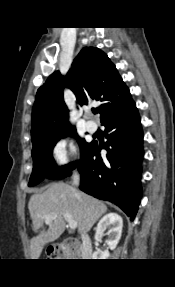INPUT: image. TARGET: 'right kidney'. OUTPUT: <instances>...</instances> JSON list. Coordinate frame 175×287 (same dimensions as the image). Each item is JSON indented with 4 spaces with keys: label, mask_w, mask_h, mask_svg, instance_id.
<instances>
[{
    "label": "right kidney",
    "mask_w": 175,
    "mask_h": 287,
    "mask_svg": "<svg viewBox=\"0 0 175 287\" xmlns=\"http://www.w3.org/2000/svg\"><path fill=\"white\" fill-rule=\"evenodd\" d=\"M123 227L122 217L116 213H109L103 216L98 222L97 227L95 228V239L98 240L99 237L104 235L106 229H109L106 235V244L108 249L114 250L121 238ZM109 251L96 250L93 253V259H108Z\"/></svg>",
    "instance_id": "right-kidney-1"
}]
</instances>
